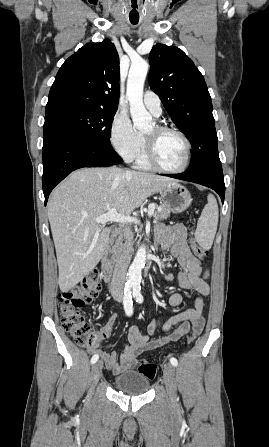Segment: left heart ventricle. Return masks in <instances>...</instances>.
<instances>
[{"mask_svg":"<svg viewBox=\"0 0 269 447\" xmlns=\"http://www.w3.org/2000/svg\"><path fill=\"white\" fill-rule=\"evenodd\" d=\"M145 136L153 142L157 158L165 167L178 168L183 164L186 146L184 140L178 134L160 132L154 126L145 133Z\"/></svg>","mask_w":269,"mask_h":447,"instance_id":"left-heart-ventricle-1","label":"left heart ventricle"}]
</instances>
